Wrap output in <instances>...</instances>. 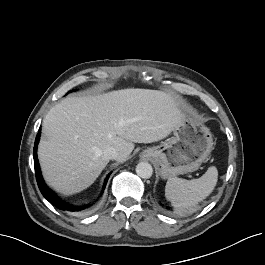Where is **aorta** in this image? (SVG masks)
Instances as JSON below:
<instances>
[{"mask_svg": "<svg viewBox=\"0 0 265 265\" xmlns=\"http://www.w3.org/2000/svg\"><path fill=\"white\" fill-rule=\"evenodd\" d=\"M136 173L143 179H148L153 174V168L148 162H140L136 166Z\"/></svg>", "mask_w": 265, "mask_h": 265, "instance_id": "obj_1", "label": "aorta"}]
</instances>
